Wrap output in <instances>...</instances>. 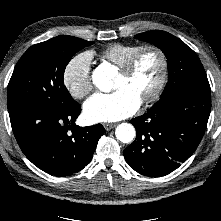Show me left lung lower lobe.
Instances as JSON below:
<instances>
[{"label": "left lung lower lobe", "instance_id": "0a47b994", "mask_svg": "<svg viewBox=\"0 0 221 221\" xmlns=\"http://www.w3.org/2000/svg\"><path fill=\"white\" fill-rule=\"evenodd\" d=\"M211 92L186 89L159 100L156 107L133 118L135 141L124 157L138 173L161 177L177 169L199 145L211 111Z\"/></svg>", "mask_w": 221, "mask_h": 221}]
</instances>
